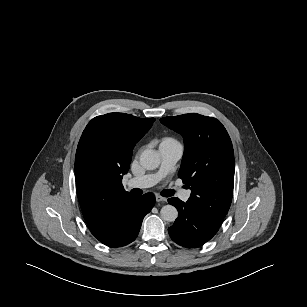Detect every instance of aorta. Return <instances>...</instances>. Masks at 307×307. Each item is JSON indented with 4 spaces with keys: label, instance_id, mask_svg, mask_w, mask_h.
<instances>
[{
    "label": "aorta",
    "instance_id": "1",
    "mask_svg": "<svg viewBox=\"0 0 307 307\" xmlns=\"http://www.w3.org/2000/svg\"><path fill=\"white\" fill-rule=\"evenodd\" d=\"M140 164L147 170H154L160 165V156L155 150L146 149L140 155ZM161 218L167 222H174L178 217L177 209L172 205H165L160 211Z\"/></svg>",
    "mask_w": 307,
    "mask_h": 307
}]
</instances>
